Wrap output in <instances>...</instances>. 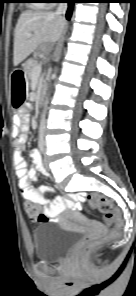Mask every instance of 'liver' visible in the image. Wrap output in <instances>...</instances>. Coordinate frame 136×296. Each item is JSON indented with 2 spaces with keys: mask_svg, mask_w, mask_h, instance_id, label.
<instances>
[{
  "mask_svg": "<svg viewBox=\"0 0 136 296\" xmlns=\"http://www.w3.org/2000/svg\"><path fill=\"white\" fill-rule=\"evenodd\" d=\"M66 22L61 16L47 11H25L17 22L14 33L13 64L19 65L41 43H54L64 31ZM27 37L28 33H32Z\"/></svg>",
  "mask_w": 136,
  "mask_h": 296,
  "instance_id": "6515ba94",
  "label": "liver"
}]
</instances>
